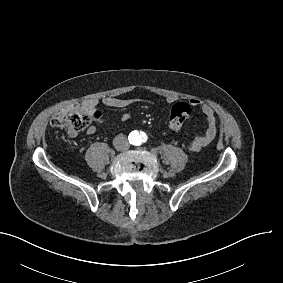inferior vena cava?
<instances>
[{
    "mask_svg": "<svg viewBox=\"0 0 283 283\" xmlns=\"http://www.w3.org/2000/svg\"><path fill=\"white\" fill-rule=\"evenodd\" d=\"M113 145H114L115 149L118 150V151H126L130 147V144L127 140V137L124 134H118L113 139Z\"/></svg>",
    "mask_w": 283,
    "mask_h": 283,
    "instance_id": "602c4592",
    "label": "inferior vena cava"
}]
</instances>
